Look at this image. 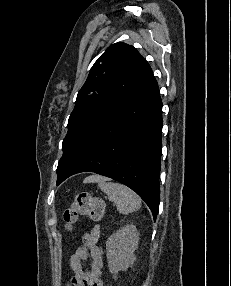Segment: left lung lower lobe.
I'll return each instance as SVG.
<instances>
[{
  "label": "left lung lower lobe",
  "instance_id": "left-lung-lower-lobe-1",
  "mask_svg": "<svg viewBox=\"0 0 231 286\" xmlns=\"http://www.w3.org/2000/svg\"><path fill=\"white\" fill-rule=\"evenodd\" d=\"M162 102L151 74L83 139L57 185L80 172H94L134 190L154 219L159 209Z\"/></svg>",
  "mask_w": 231,
  "mask_h": 286
}]
</instances>
